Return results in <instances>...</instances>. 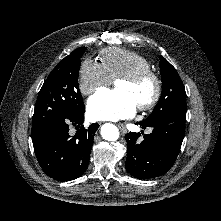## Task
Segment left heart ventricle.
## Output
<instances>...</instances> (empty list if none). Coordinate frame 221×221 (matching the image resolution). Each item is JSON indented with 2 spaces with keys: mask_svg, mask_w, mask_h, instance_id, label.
Instances as JSON below:
<instances>
[{
  "mask_svg": "<svg viewBox=\"0 0 221 221\" xmlns=\"http://www.w3.org/2000/svg\"><path fill=\"white\" fill-rule=\"evenodd\" d=\"M116 87L131 95L137 106L148 101L154 92V85L151 80H145L138 84H131L126 81H118Z\"/></svg>",
  "mask_w": 221,
  "mask_h": 221,
  "instance_id": "b2bd125f",
  "label": "left heart ventricle"
}]
</instances>
